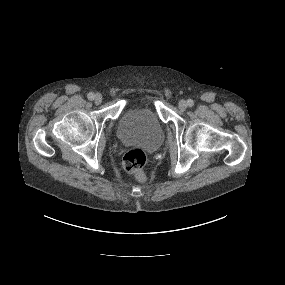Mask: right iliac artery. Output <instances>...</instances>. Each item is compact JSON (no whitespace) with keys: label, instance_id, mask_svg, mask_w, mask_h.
Wrapping results in <instances>:
<instances>
[{"label":"right iliac artery","instance_id":"right-iliac-artery-1","mask_svg":"<svg viewBox=\"0 0 285 285\" xmlns=\"http://www.w3.org/2000/svg\"><path fill=\"white\" fill-rule=\"evenodd\" d=\"M94 93H92V92H90L88 95H87V97H88V99L89 100H93L94 99Z\"/></svg>","mask_w":285,"mask_h":285}]
</instances>
